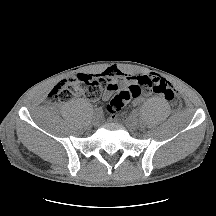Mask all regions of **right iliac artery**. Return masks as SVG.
<instances>
[{
	"label": "right iliac artery",
	"instance_id": "82829eb1",
	"mask_svg": "<svg viewBox=\"0 0 216 216\" xmlns=\"http://www.w3.org/2000/svg\"><path fill=\"white\" fill-rule=\"evenodd\" d=\"M94 112H95L96 115H101L103 113V110L101 108H96L94 110Z\"/></svg>",
	"mask_w": 216,
	"mask_h": 216
}]
</instances>
